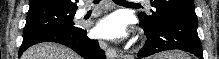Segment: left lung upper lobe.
<instances>
[{
  "label": "left lung upper lobe",
  "mask_w": 219,
  "mask_h": 59,
  "mask_svg": "<svg viewBox=\"0 0 219 59\" xmlns=\"http://www.w3.org/2000/svg\"><path fill=\"white\" fill-rule=\"evenodd\" d=\"M151 6L156 11L151 15L141 12L138 17L140 22L150 25H157L160 22L168 21L182 14L188 9H194V0H150Z\"/></svg>",
  "instance_id": "obj_1"
}]
</instances>
